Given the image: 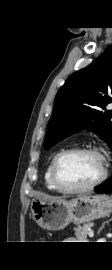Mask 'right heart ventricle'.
Returning <instances> with one entry per match:
<instances>
[{
    "mask_svg": "<svg viewBox=\"0 0 112 270\" xmlns=\"http://www.w3.org/2000/svg\"><path fill=\"white\" fill-rule=\"evenodd\" d=\"M58 153H55L52 158L50 159V161L48 162L45 172H44V182H45V186L49 191L52 192H59V190L54 186L52 179H51V166H52V162L55 158V156Z\"/></svg>",
    "mask_w": 112,
    "mask_h": 270,
    "instance_id": "e07e8e85",
    "label": "right heart ventricle"
}]
</instances>
